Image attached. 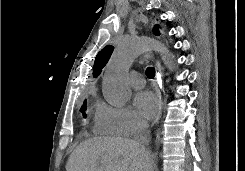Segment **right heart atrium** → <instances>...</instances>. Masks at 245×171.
<instances>
[{"label":"right heart atrium","mask_w":245,"mask_h":171,"mask_svg":"<svg viewBox=\"0 0 245 171\" xmlns=\"http://www.w3.org/2000/svg\"><path fill=\"white\" fill-rule=\"evenodd\" d=\"M146 127L145 121L130 108H118L98 103L94 129L105 135L133 136Z\"/></svg>","instance_id":"right-heart-atrium-1"}]
</instances>
